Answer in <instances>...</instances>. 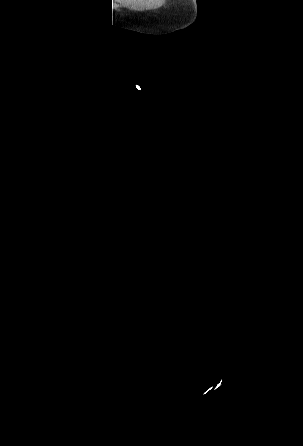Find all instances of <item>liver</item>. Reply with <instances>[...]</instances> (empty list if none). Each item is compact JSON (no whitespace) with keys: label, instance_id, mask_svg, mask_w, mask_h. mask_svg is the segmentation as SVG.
<instances>
[{"label":"liver","instance_id":"obj_1","mask_svg":"<svg viewBox=\"0 0 303 446\" xmlns=\"http://www.w3.org/2000/svg\"><path fill=\"white\" fill-rule=\"evenodd\" d=\"M148 1H150V0H148ZM146 3H150V2H147V0L145 1ZM129 3H131V2H129Z\"/></svg>","mask_w":303,"mask_h":446}]
</instances>
